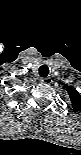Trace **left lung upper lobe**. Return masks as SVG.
<instances>
[{"mask_svg":"<svg viewBox=\"0 0 81 155\" xmlns=\"http://www.w3.org/2000/svg\"><path fill=\"white\" fill-rule=\"evenodd\" d=\"M68 94L70 96L72 107L74 111L81 110V95L73 88L67 87Z\"/></svg>","mask_w":81,"mask_h":155,"instance_id":"1","label":"left lung upper lobe"}]
</instances>
